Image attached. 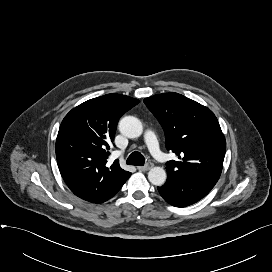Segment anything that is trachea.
<instances>
[{
	"instance_id": "trachea-1",
	"label": "trachea",
	"mask_w": 272,
	"mask_h": 272,
	"mask_svg": "<svg viewBox=\"0 0 272 272\" xmlns=\"http://www.w3.org/2000/svg\"><path fill=\"white\" fill-rule=\"evenodd\" d=\"M126 163L128 165L143 166L145 164V158L140 152H133L127 158Z\"/></svg>"
}]
</instances>
